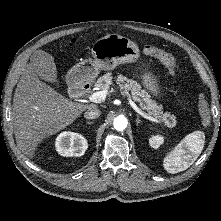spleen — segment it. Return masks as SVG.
<instances>
[{
  "label": "spleen",
  "mask_w": 221,
  "mask_h": 221,
  "mask_svg": "<svg viewBox=\"0 0 221 221\" xmlns=\"http://www.w3.org/2000/svg\"><path fill=\"white\" fill-rule=\"evenodd\" d=\"M205 143L202 131H195L183 138L163 160L164 169L175 174L189 168L201 154Z\"/></svg>",
  "instance_id": "spleen-1"
}]
</instances>
